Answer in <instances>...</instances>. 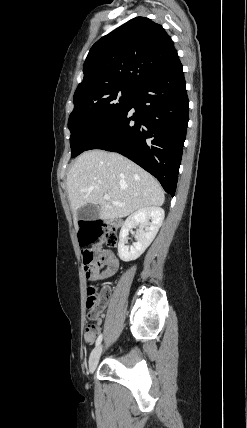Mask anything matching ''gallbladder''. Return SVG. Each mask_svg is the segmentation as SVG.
Here are the masks:
<instances>
[{"label": "gallbladder", "mask_w": 247, "mask_h": 428, "mask_svg": "<svg viewBox=\"0 0 247 428\" xmlns=\"http://www.w3.org/2000/svg\"><path fill=\"white\" fill-rule=\"evenodd\" d=\"M77 215L85 221H95L99 218V206L95 204H87L78 209Z\"/></svg>", "instance_id": "bac80fb5"}]
</instances>
